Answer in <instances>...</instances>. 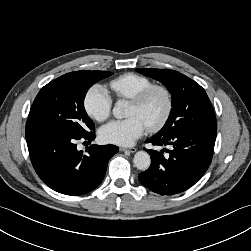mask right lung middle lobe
<instances>
[{"mask_svg": "<svg viewBox=\"0 0 251 251\" xmlns=\"http://www.w3.org/2000/svg\"><path fill=\"white\" fill-rule=\"evenodd\" d=\"M107 71H78L61 76L45 85L31 107L28 123H37L76 136H87L95 129L84 108L88 89L111 76Z\"/></svg>", "mask_w": 251, "mask_h": 251, "instance_id": "dd1d6c3e", "label": "right lung middle lobe"}]
</instances>
